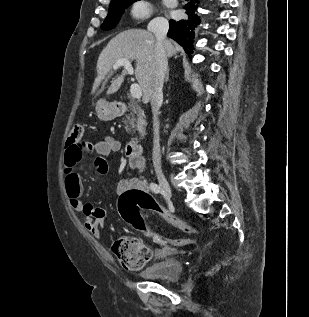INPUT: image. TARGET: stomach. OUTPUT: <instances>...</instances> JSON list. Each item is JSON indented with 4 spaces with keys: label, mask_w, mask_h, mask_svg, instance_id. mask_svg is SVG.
Wrapping results in <instances>:
<instances>
[{
    "label": "stomach",
    "mask_w": 309,
    "mask_h": 317,
    "mask_svg": "<svg viewBox=\"0 0 309 317\" xmlns=\"http://www.w3.org/2000/svg\"><path fill=\"white\" fill-rule=\"evenodd\" d=\"M96 112L98 118L103 121L113 120L118 115L115 103L108 102L105 99L97 101Z\"/></svg>",
    "instance_id": "1"
}]
</instances>
